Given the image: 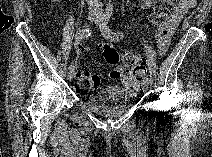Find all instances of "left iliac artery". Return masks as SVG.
I'll list each match as a JSON object with an SVG mask.
<instances>
[{
    "instance_id": "44dca946",
    "label": "left iliac artery",
    "mask_w": 212,
    "mask_h": 157,
    "mask_svg": "<svg viewBox=\"0 0 212 157\" xmlns=\"http://www.w3.org/2000/svg\"><path fill=\"white\" fill-rule=\"evenodd\" d=\"M110 18L109 14H105L103 16V23L100 26L102 35L106 38L109 39L111 41H119L120 39L123 38V33L122 32H112L109 27L107 26L108 20ZM143 82L150 84L152 83L151 79L148 76H144L143 78Z\"/></svg>"
}]
</instances>
